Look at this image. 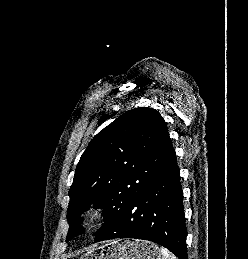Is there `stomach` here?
<instances>
[{"instance_id": "0dacf381", "label": "stomach", "mask_w": 248, "mask_h": 259, "mask_svg": "<svg viewBox=\"0 0 248 259\" xmlns=\"http://www.w3.org/2000/svg\"><path fill=\"white\" fill-rule=\"evenodd\" d=\"M79 259H162L159 247L138 239L115 240L95 247Z\"/></svg>"}]
</instances>
